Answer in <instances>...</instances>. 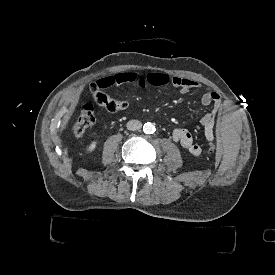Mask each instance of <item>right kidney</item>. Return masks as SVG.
Segmentation results:
<instances>
[{
    "label": "right kidney",
    "mask_w": 275,
    "mask_h": 275,
    "mask_svg": "<svg viewBox=\"0 0 275 275\" xmlns=\"http://www.w3.org/2000/svg\"><path fill=\"white\" fill-rule=\"evenodd\" d=\"M96 148V142L93 141L87 148L88 152H92Z\"/></svg>",
    "instance_id": "right-kidney-1"
}]
</instances>
